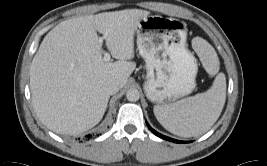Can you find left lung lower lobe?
Here are the masks:
<instances>
[{
    "mask_svg": "<svg viewBox=\"0 0 267 166\" xmlns=\"http://www.w3.org/2000/svg\"><path fill=\"white\" fill-rule=\"evenodd\" d=\"M147 126H148V128H149V129H150L156 136H158V137H160V138H162V139H165V140H168V141H172V142H174V143H185V142H183V141H178V140L169 138V137H167V136H164V135L158 133L157 131H155L154 129H152L148 123H147Z\"/></svg>",
    "mask_w": 267,
    "mask_h": 166,
    "instance_id": "1",
    "label": "left lung lower lobe"
}]
</instances>
